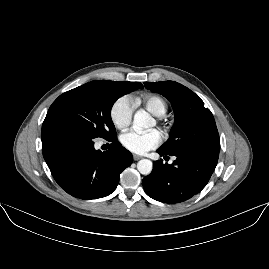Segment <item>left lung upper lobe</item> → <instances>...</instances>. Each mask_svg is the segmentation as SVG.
<instances>
[{
  "mask_svg": "<svg viewBox=\"0 0 269 269\" xmlns=\"http://www.w3.org/2000/svg\"><path fill=\"white\" fill-rule=\"evenodd\" d=\"M148 90L166 97L172 104L175 122L167 151L209 156L218 159L219 134L211 111L193 91L174 81L145 82Z\"/></svg>",
  "mask_w": 269,
  "mask_h": 269,
  "instance_id": "left-lung-upper-lobe-1",
  "label": "left lung upper lobe"
}]
</instances>
